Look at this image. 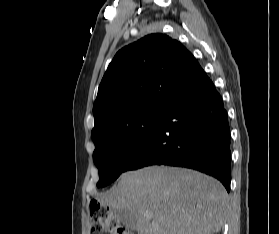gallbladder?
<instances>
[{
  "instance_id": "gallbladder-1",
  "label": "gallbladder",
  "mask_w": 279,
  "mask_h": 234,
  "mask_svg": "<svg viewBox=\"0 0 279 234\" xmlns=\"http://www.w3.org/2000/svg\"><path fill=\"white\" fill-rule=\"evenodd\" d=\"M112 215L121 221L126 227L131 230L136 229V220L134 216L126 209H113Z\"/></svg>"
}]
</instances>
